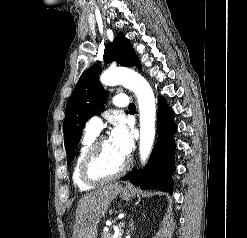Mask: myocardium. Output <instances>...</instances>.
<instances>
[{
  "mask_svg": "<svg viewBox=\"0 0 247 238\" xmlns=\"http://www.w3.org/2000/svg\"><path fill=\"white\" fill-rule=\"evenodd\" d=\"M106 140H108V137L105 135L97 137L82 160L80 175L88 184H99L115 180L124 175L130 167L131 162L129 159H126L123 166L117 172L106 174L97 170L96 165L100 157L101 148Z\"/></svg>",
  "mask_w": 247,
  "mask_h": 238,
  "instance_id": "f54148a6",
  "label": "myocardium"
}]
</instances>
